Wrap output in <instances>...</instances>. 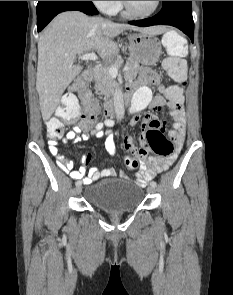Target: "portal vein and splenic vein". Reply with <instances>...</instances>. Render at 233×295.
Listing matches in <instances>:
<instances>
[{"label": "portal vein and splenic vein", "instance_id": "portal-vein-and-splenic-vein-1", "mask_svg": "<svg viewBox=\"0 0 233 295\" xmlns=\"http://www.w3.org/2000/svg\"><path fill=\"white\" fill-rule=\"evenodd\" d=\"M79 59L81 60H93V61H96L98 60V56L95 54V52H90V53H86V54H83L81 56H79ZM118 67L116 66H112L109 68V73L112 75V76H116L118 74ZM129 70V66H125L123 68V71H127Z\"/></svg>", "mask_w": 233, "mask_h": 295}]
</instances>
